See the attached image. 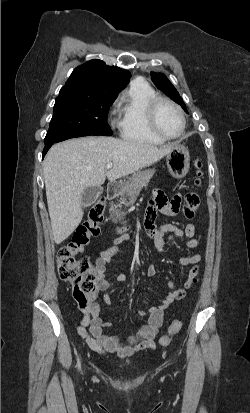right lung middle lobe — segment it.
<instances>
[{
	"label": "right lung middle lobe",
	"instance_id": "dd1d6c3e",
	"mask_svg": "<svg viewBox=\"0 0 250 413\" xmlns=\"http://www.w3.org/2000/svg\"><path fill=\"white\" fill-rule=\"evenodd\" d=\"M116 97L115 93L77 87L62 88L55 99L53 117L44 139L45 144L77 133L112 135L107 123V114Z\"/></svg>",
	"mask_w": 250,
	"mask_h": 413
}]
</instances>
